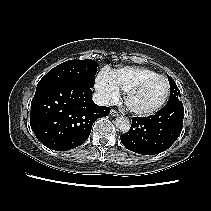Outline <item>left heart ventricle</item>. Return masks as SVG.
Instances as JSON below:
<instances>
[{
    "label": "left heart ventricle",
    "instance_id": "left-heart-ventricle-1",
    "mask_svg": "<svg viewBox=\"0 0 211 211\" xmlns=\"http://www.w3.org/2000/svg\"><path fill=\"white\" fill-rule=\"evenodd\" d=\"M166 92V83L162 79H155L145 85L131 98V103L139 109H147L156 105Z\"/></svg>",
    "mask_w": 211,
    "mask_h": 211
}]
</instances>
